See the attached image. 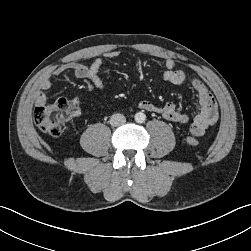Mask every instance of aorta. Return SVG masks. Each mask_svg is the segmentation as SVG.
I'll return each instance as SVG.
<instances>
[{"mask_svg":"<svg viewBox=\"0 0 251 251\" xmlns=\"http://www.w3.org/2000/svg\"><path fill=\"white\" fill-rule=\"evenodd\" d=\"M137 123H143L146 120V115L143 112H138L134 117Z\"/></svg>","mask_w":251,"mask_h":251,"instance_id":"762f6f07","label":"aorta"}]
</instances>
